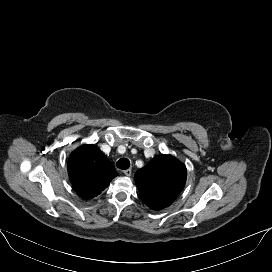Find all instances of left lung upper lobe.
<instances>
[{
    "label": "left lung upper lobe",
    "instance_id": "5c2ea615",
    "mask_svg": "<svg viewBox=\"0 0 272 272\" xmlns=\"http://www.w3.org/2000/svg\"><path fill=\"white\" fill-rule=\"evenodd\" d=\"M186 167L171 155H159L134 175L142 201L153 210L168 207L183 190Z\"/></svg>",
    "mask_w": 272,
    "mask_h": 272
}]
</instances>
